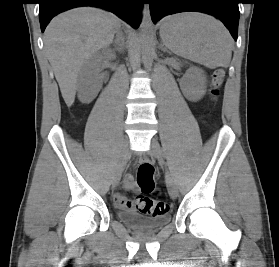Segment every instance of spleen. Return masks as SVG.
I'll return each mask as SVG.
<instances>
[{
  "mask_svg": "<svg viewBox=\"0 0 279 267\" xmlns=\"http://www.w3.org/2000/svg\"><path fill=\"white\" fill-rule=\"evenodd\" d=\"M163 43L175 54L208 67H228L233 41L224 25L202 13L169 17L160 29Z\"/></svg>",
  "mask_w": 279,
  "mask_h": 267,
  "instance_id": "1",
  "label": "spleen"
}]
</instances>
